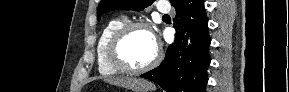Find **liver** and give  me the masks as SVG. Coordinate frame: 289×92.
<instances>
[{"instance_id":"1","label":"liver","mask_w":289,"mask_h":92,"mask_svg":"<svg viewBox=\"0 0 289 92\" xmlns=\"http://www.w3.org/2000/svg\"><path fill=\"white\" fill-rule=\"evenodd\" d=\"M106 82L113 85L122 86L127 89H132L137 92L154 89L152 84H150L148 81L136 78H108L106 79Z\"/></svg>"}]
</instances>
